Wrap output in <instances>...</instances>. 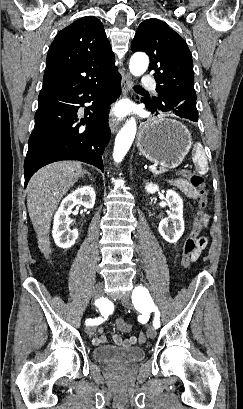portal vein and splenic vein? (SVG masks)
<instances>
[{
    "label": "portal vein and splenic vein",
    "mask_w": 243,
    "mask_h": 409,
    "mask_svg": "<svg viewBox=\"0 0 243 409\" xmlns=\"http://www.w3.org/2000/svg\"><path fill=\"white\" fill-rule=\"evenodd\" d=\"M149 169H150L151 171L156 170V166H155V165H151V166L149 167Z\"/></svg>",
    "instance_id": "18ae733b"
}]
</instances>
